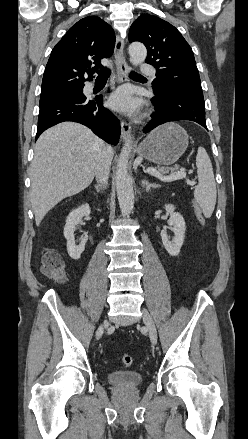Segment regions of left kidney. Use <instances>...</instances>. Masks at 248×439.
Here are the masks:
<instances>
[{
    "instance_id": "left-kidney-1",
    "label": "left kidney",
    "mask_w": 248,
    "mask_h": 439,
    "mask_svg": "<svg viewBox=\"0 0 248 439\" xmlns=\"http://www.w3.org/2000/svg\"><path fill=\"white\" fill-rule=\"evenodd\" d=\"M165 210L170 213L168 225L174 233L172 240H169L168 234L165 230L161 231V238L163 245L171 256H177L185 239L186 225L183 216L175 212V207L172 204H166Z\"/></svg>"
}]
</instances>
